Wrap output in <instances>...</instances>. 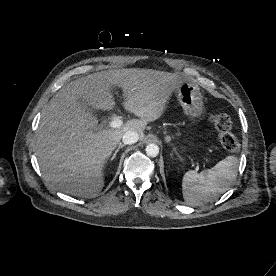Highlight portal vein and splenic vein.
<instances>
[{"label":"portal vein and splenic vein","mask_w":276,"mask_h":276,"mask_svg":"<svg viewBox=\"0 0 276 276\" xmlns=\"http://www.w3.org/2000/svg\"><path fill=\"white\" fill-rule=\"evenodd\" d=\"M122 124H123V122H122L121 118L115 117L110 121L109 126L111 128H119L122 126Z\"/></svg>","instance_id":"portal-vein-and-splenic-vein-1"}]
</instances>
